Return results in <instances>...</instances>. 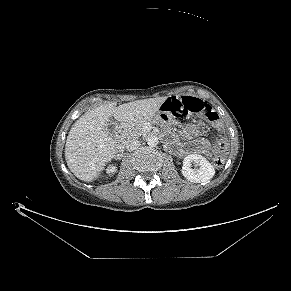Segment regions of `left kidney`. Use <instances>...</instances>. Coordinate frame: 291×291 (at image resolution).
<instances>
[{
  "instance_id": "5707ae66",
  "label": "left kidney",
  "mask_w": 291,
  "mask_h": 291,
  "mask_svg": "<svg viewBox=\"0 0 291 291\" xmlns=\"http://www.w3.org/2000/svg\"><path fill=\"white\" fill-rule=\"evenodd\" d=\"M192 163L195 165L194 169L191 168ZM181 172L191 182L206 183L214 176L215 169L205 157L190 154L184 158Z\"/></svg>"
}]
</instances>
